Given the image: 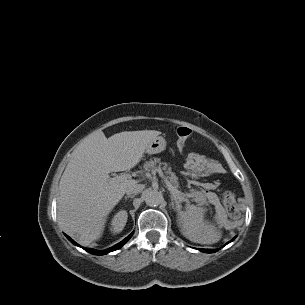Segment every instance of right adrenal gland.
<instances>
[{
	"mask_svg": "<svg viewBox=\"0 0 305 305\" xmlns=\"http://www.w3.org/2000/svg\"><path fill=\"white\" fill-rule=\"evenodd\" d=\"M135 195H128V196H125V200H127L128 198H134Z\"/></svg>",
	"mask_w": 305,
	"mask_h": 305,
	"instance_id": "right-adrenal-gland-1",
	"label": "right adrenal gland"
}]
</instances>
